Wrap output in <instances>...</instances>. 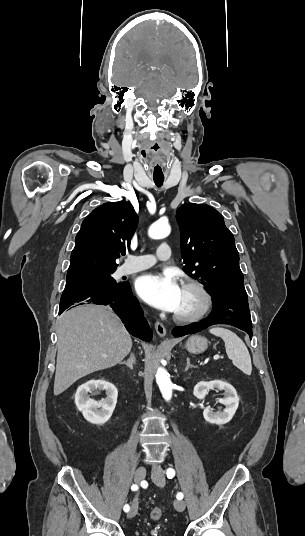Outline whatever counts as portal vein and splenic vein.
Segmentation results:
<instances>
[{
	"label": "portal vein and splenic vein",
	"instance_id": "portal-vein-and-splenic-vein-1",
	"mask_svg": "<svg viewBox=\"0 0 305 536\" xmlns=\"http://www.w3.org/2000/svg\"><path fill=\"white\" fill-rule=\"evenodd\" d=\"M214 360H219V356H214Z\"/></svg>",
	"mask_w": 305,
	"mask_h": 536
}]
</instances>
